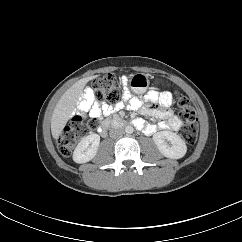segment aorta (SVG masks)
Masks as SVG:
<instances>
[{
  "label": "aorta",
  "instance_id": "762f6f07",
  "mask_svg": "<svg viewBox=\"0 0 242 242\" xmlns=\"http://www.w3.org/2000/svg\"><path fill=\"white\" fill-rule=\"evenodd\" d=\"M124 131H125L126 134L129 135V134L133 133L134 128L132 126L128 125V126L125 127Z\"/></svg>",
  "mask_w": 242,
  "mask_h": 242
}]
</instances>
